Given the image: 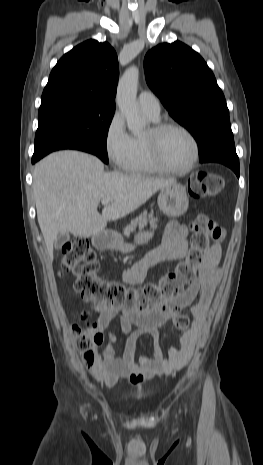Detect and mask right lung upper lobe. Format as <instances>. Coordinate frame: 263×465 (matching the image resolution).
Here are the masks:
<instances>
[{
	"instance_id": "right-lung-upper-lobe-1",
	"label": "right lung upper lobe",
	"mask_w": 263,
	"mask_h": 465,
	"mask_svg": "<svg viewBox=\"0 0 263 465\" xmlns=\"http://www.w3.org/2000/svg\"><path fill=\"white\" fill-rule=\"evenodd\" d=\"M117 54L106 42L88 40L66 53L50 73L41 103L70 99L115 107Z\"/></svg>"
}]
</instances>
